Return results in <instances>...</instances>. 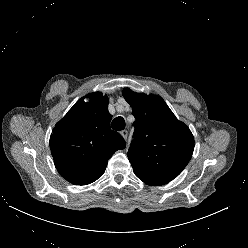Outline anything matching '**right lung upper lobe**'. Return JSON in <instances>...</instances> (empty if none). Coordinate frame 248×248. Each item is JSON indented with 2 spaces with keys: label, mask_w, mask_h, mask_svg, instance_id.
I'll use <instances>...</instances> for the list:
<instances>
[{
  "label": "right lung upper lobe",
  "mask_w": 248,
  "mask_h": 248,
  "mask_svg": "<svg viewBox=\"0 0 248 248\" xmlns=\"http://www.w3.org/2000/svg\"><path fill=\"white\" fill-rule=\"evenodd\" d=\"M79 99L55 125L50 149L59 174L75 185H87L103 175L108 159L124 149L123 137L111 130L108 97L101 92Z\"/></svg>",
  "instance_id": "1"
}]
</instances>
